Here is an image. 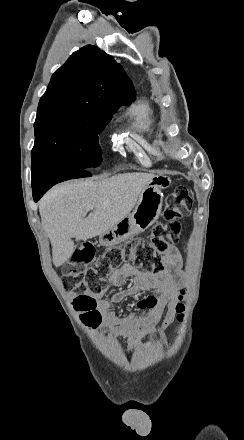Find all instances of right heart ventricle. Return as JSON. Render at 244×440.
Masks as SVG:
<instances>
[{
    "label": "right heart ventricle",
    "mask_w": 244,
    "mask_h": 440,
    "mask_svg": "<svg viewBox=\"0 0 244 440\" xmlns=\"http://www.w3.org/2000/svg\"><path fill=\"white\" fill-rule=\"evenodd\" d=\"M150 107L145 102L132 105L126 112L125 117L130 120L131 125L142 133L150 132ZM135 132L133 129L130 131Z\"/></svg>",
    "instance_id": "e07e8e85"
}]
</instances>
